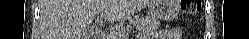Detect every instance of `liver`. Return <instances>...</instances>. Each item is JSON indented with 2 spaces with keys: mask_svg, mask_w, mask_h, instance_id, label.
Here are the masks:
<instances>
[{
  "mask_svg": "<svg viewBox=\"0 0 249 39\" xmlns=\"http://www.w3.org/2000/svg\"><path fill=\"white\" fill-rule=\"evenodd\" d=\"M152 0H42L41 39H90V25L100 16L122 23Z\"/></svg>",
  "mask_w": 249,
  "mask_h": 39,
  "instance_id": "6515ba94",
  "label": "liver"
}]
</instances>
